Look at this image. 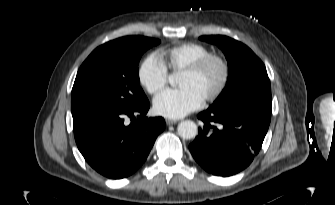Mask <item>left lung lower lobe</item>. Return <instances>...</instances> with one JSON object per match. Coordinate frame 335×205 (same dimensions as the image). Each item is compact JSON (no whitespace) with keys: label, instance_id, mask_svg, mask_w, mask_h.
<instances>
[{"label":"left lung lower lobe","instance_id":"1","mask_svg":"<svg viewBox=\"0 0 335 205\" xmlns=\"http://www.w3.org/2000/svg\"><path fill=\"white\" fill-rule=\"evenodd\" d=\"M189 150L207 172L231 176L245 169L259 152L268 131L271 112L251 106L208 108Z\"/></svg>","mask_w":335,"mask_h":205}]
</instances>
